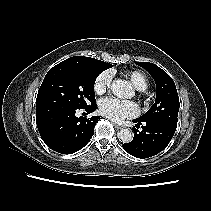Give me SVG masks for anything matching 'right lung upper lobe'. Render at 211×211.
Returning <instances> with one entry per match:
<instances>
[{"mask_svg": "<svg viewBox=\"0 0 211 211\" xmlns=\"http://www.w3.org/2000/svg\"><path fill=\"white\" fill-rule=\"evenodd\" d=\"M70 59H74V60H91V59H94V58L84 57V56H75V57H71Z\"/></svg>", "mask_w": 211, "mask_h": 211, "instance_id": "right-lung-upper-lobe-1", "label": "right lung upper lobe"}]
</instances>
